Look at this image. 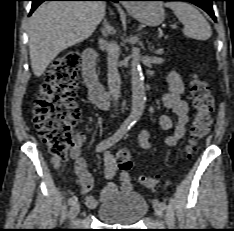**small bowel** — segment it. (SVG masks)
I'll list each match as a JSON object with an SVG mask.
<instances>
[{
  "instance_id": "1",
  "label": "small bowel",
  "mask_w": 234,
  "mask_h": 231,
  "mask_svg": "<svg viewBox=\"0 0 234 231\" xmlns=\"http://www.w3.org/2000/svg\"><path fill=\"white\" fill-rule=\"evenodd\" d=\"M169 82V92L162 97L164 106L172 111L176 116L174 120L170 114H164L160 117L159 128L161 130L174 129L173 134L165 139L168 146H173L178 140L184 137L186 125L189 120L188 105L182 99L184 93V84L180 75L176 71H170L167 76ZM85 141V136L81 132L75 135V144L71 148L70 157L75 163V172L78 176L77 185L80 193L85 197L89 207L95 208L100 203L108 201L119 190H128L131 187L128 174H121V184H116L113 179L117 175V164L114 149L116 143H112L110 137L106 139L107 148L103 152L104 174L109 182L104 186L99 196L90 195L94 187V178L86 167L85 160L81 157V147ZM139 142L142 148L150 149L152 147V135L145 129L139 134ZM55 167L59 166L56 158L52 160Z\"/></svg>"
}]
</instances>
